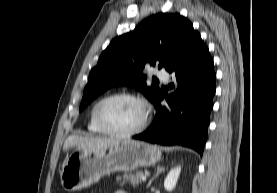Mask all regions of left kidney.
I'll use <instances>...</instances> for the list:
<instances>
[{
  "instance_id": "left-kidney-1",
  "label": "left kidney",
  "mask_w": 277,
  "mask_h": 193,
  "mask_svg": "<svg viewBox=\"0 0 277 193\" xmlns=\"http://www.w3.org/2000/svg\"><path fill=\"white\" fill-rule=\"evenodd\" d=\"M181 172V166H176L170 170V172L167 174L165 180H164V188L171 192L178 181L179 175Z\"/></svg>"
}]
</instances>
